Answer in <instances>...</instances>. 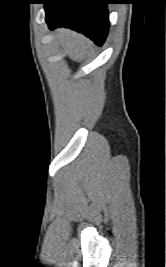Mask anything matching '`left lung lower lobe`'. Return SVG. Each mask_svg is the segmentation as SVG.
<instances>
[{"label":"left lung lower lobe","instance_id":"left-lung-lower-lobe-1","mask_svg":"<svg viewBox=\"0 0 166 267\" xmlns=\"http://www.w3.org/2000/svg\"><path fill=\"white\" fill-rule=\"evenodd\" d=\"M46 21L51 30L67 27L85 34L101 46L108 34L109 0H44Z\"/></svg>","mask_w":166,"mask_h":267}]
</instances>
